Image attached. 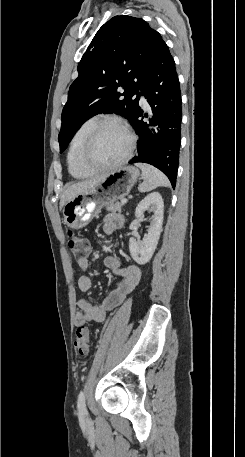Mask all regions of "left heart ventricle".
Masks as SVG:
<instances>
[{
    "mask_svg": "<svg viewBox=\"0 0 245 457\" xmlns=\"http://www.w3.org/2000/svg\"><path fill=\"white\" fill-rule=\"evenodd\" d=\"M128 143L124 133L115 128H106L87 150L86 161L93 167L106 166L124 153Z\"/></svg>",
    "mask_w": 245,
    "mask_h": 457,
    "instance_id": "left-heart-ventricle-1",
    "label": "left heart ventricle"
}]
</instances>
